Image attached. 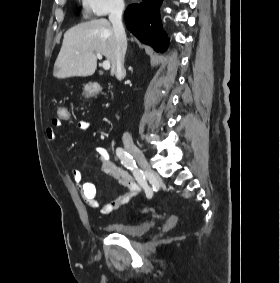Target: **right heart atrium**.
<instances>
[{"label": "right heart atrium", "mask_w": 280, "mask_h": 283, "mask_svg": "<svg viewBox=\"0 0 280 283\" xmlns=\"http://www.w3.org/2000/svg\"><path fill=\"white\" fill-rule=\"evenodd\" d=\"M84 12L88 16L103 17L120 14L125 8L124 0H81Z\"/></svg>", "instance_id": "obj_1"}]
</instances>
